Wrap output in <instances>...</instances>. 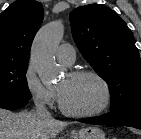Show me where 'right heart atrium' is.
Wrapping results in <instances>:
<instances>
[{
	"label": "right heart atrium",
	"instance_id": "obj_1",
	"mask_svg": "<svg viewBox=\"0 0 141 139\" xmlns=\"http://www.w3.org/2000/svg\"><path fill=\"white\" fill-rule=\"evenodd\" d=\"M23 81L30 98L37 106L52 107L55 104L56 92L41 82L31 63L24 70Z\"/></svg>",
	"mask_w": 141,
	"mask_h": 139
}]
</instances>
